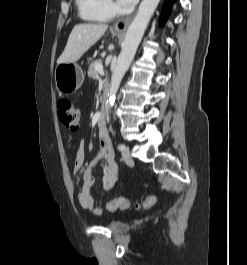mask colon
Wrapping results in <instances>:
<instances>
[{
  "instance_id": "colon-1",
  "label": "colon",
  "mask_w": 247,
  "mask_h": 265,
  "mask_svg": "<svg viewBox=\"0 0 247 265\" xmlns=\"http://www.w3.org/2000/svg\"><path fill=\"white\" fill-rule=\"evenodd\" d=\"M58 116L62 124L70 131H77L80 122L79 109L68 100H60L58 102ZM156 202L154 196L150 195L140 203L135 204L137 209H146L153 206Z\"/></svg>"
}]
</instances>
